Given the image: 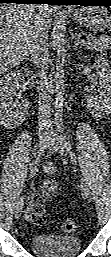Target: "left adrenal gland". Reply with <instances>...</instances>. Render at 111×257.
I'll return each instance as SVG.
<instances>
[{"instance_id":"left-adrenal-gland-1","label":"left adrenal gland","mask_w":111,"mask_h":257,"mask_svg":"<svg viewBox=\"0 0 111 257\" xmlns=\"http://www.w3.org/2000/svg\"><path fill=\"white\" fill-rule=\"evenodd\" d=\"M72 39H74V45L73 47L76 48L79 44H82L83 46H85V41L83 39H81V34L80 33H76Z\"/></svg>"}]
</instances>
